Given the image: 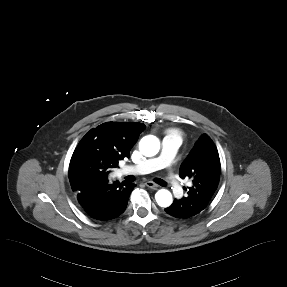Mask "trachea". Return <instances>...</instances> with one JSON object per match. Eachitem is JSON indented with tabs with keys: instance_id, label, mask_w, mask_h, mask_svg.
<instances>
[{
	"instance_id": "1",
	"label": "trachea",
	"mask_w": 287,
	"mask_h": 287,
	"mask_svg": "<svg viewBox=\"0 0 287 287\" xmlns=\"http://www.w3.org/2000/svg\"><path fill=\"white\" fill-rule=\"evenodd\" d=\"M157 184L161 185V186H165L166 185V182L160 178H156L154 180Z\"/></svg>"
}]
</instances>
